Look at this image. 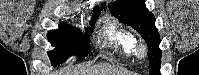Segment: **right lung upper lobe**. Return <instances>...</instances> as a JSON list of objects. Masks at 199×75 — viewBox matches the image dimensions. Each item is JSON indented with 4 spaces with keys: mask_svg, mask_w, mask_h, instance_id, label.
Instances as JSON below:
<instances>
[{
    "mask_svg": "<svg viewBox=\"0 0 199 75\" xmlns=\"http://www.w3.org/2000/svg\"><path fill=\"white\" fill-rule=\"evenodd\" d=\"M102 8L104 7V5L103 6H101ZM99 13H101V8L100 7H96V8H94V10H93V16L94 15H97V14H99Z\"/></svg>",
    "mask_w": 199,
    "mask_h": 75,
    "instance_id": "obj_1",
    "label": "right lung upper lobe"
}]
</instances>
